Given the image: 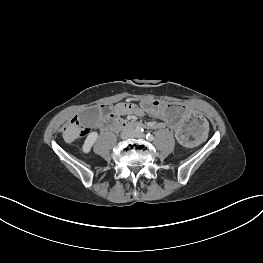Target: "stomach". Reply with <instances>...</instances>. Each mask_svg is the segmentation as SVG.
I'll use <instances>...</instances> for the list:
<instances>
[{
  "label": "stomach",
  "instance_id": "1",
  "mask_svg": "<svg viewBox=\"0 0 263 263\" xmlns=\"http://www.w3.org/2000/svg\"><path fill=\"white\" fill-rule=\"evenodd\" d=\"M142 111L146 116L170 126L172 135L187 150L197 149L210 134V125L204 115L180 103L148 100L143 104Z\"/></svg>",
  "mask_w": 263,
  "mask_h": 263
}]
</instances>
